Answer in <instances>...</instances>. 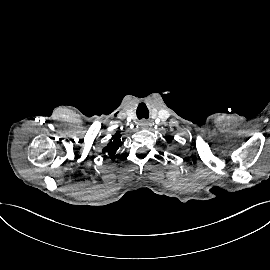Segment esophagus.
<instances>
[{
	"mask_svg": "<svg viewBox=\"0 0 270 270\" xmlns=\"http://www.w3.org/2000/svg\"><path fill=\"white\" fill-rule=\"evenodd\" d=\"M149 122L147 121V120H142L141 122H140V126L142 127V128H148L149 127Z\"/></svg>",
	"mask_w": 270,
	"mask_h": 270,
	"instance_id": "34e87169",
	"label": "esophagus"
}]
</instances>
